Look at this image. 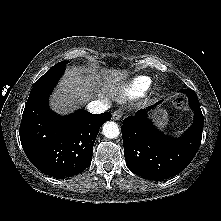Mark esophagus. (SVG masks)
I'll list each match as a JSON object with an SVG mask.
<instances>
[{"instance_id": "obj_1", "label": "esophagus", "mask_w": 221, "mask_h": 221, "mask_svg": "<svg viewBox=\"0 0 221 221\" xmlns=\"http://www.w3.org/2000/svg\"><path fill=\"white\" fill-rule=\"evenodd\" d=\"M122 115H123V112H122L121 110H116V111L112 114V118H113V120L118 121V120L121 119Z\"/></svg>"}]
</instances>
